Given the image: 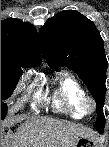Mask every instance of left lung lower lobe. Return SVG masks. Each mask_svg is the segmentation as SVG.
<instances>
[{
	"mask_svg": "<svg viewBox=\"0 0 109 147\" xmlns=\"http://www.w3.org/2000/svg\"><path fill=\"white\" fill-rule=\"evenodd\" d=\"M96 130L102 133L104 131V128H96Z\"/></svg>",
	"mask_w": 109,
	"mask_h": 147,
	"instance_id": "obj_1",
	"label": "left lung lower lobe"
}]
</instances>
